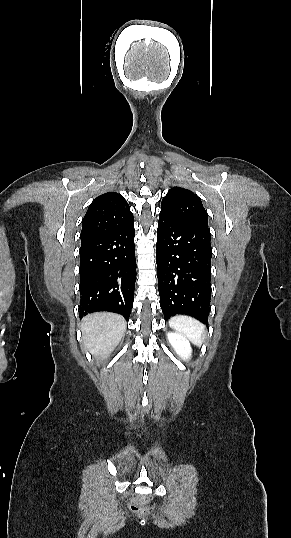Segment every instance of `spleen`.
<instances>
[{
	"label": "spleen",
	"mask_w": 291,
	"mask_h": 538,
	"mask_svg": "<svg viewBox=\"0 0 291 538\" xmlns=\"http://www.w3.org/2000/svg\"><path fill=\"white\" fill-rule=\"evenodd\" d=\"M169 325L174 330L187 336L194 344L198 346L202 344L205 327L198 320L184 315H177L169 320Z\"/></svg>",
	"instance_id": "obj_1"
}]
</instances>
